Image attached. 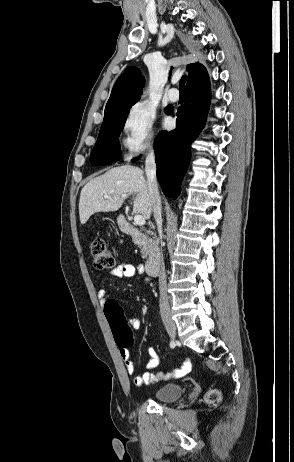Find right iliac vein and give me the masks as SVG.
Returning <instances> with one entry per match:
<instances>
[{"instance_id": "63e3f726", "label": "right iliac vein", "mask_w": 294, "mask_h": 462, "mask_svg": "<svg viewBox=\"0 0 294 462\" xmlns=\"http://www.w3.org/2000/svg\"><path fill=\"white\" fill-rule=\"evenodd\" d=\"M162 320H163L164 326H165L168 334L172 338H175L176 337V325H175L174 321L171 319V317L169 315H164L162 317Z\"/></svg>"}]
</instances>
